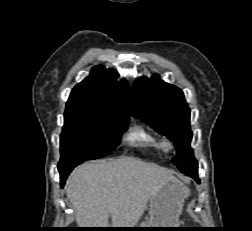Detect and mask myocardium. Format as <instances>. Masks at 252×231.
<instances>
[{
    "mask_svg": "<svg viewBox=\"0 0 252 231\" xmlns=\"http://www.w3.org/2000/svg\"><path fill=\"white\" fill-rule=\"evenodd\" d=\"M160 147L164 152H170L174 148V143L171 139L164 137L160 140Z\"/></svg>",
    "mask_w": 252,
    "mask_h": 231,
    "instance_id": "f54148a6",
    "label": "myocardium"
}]
</instances>
